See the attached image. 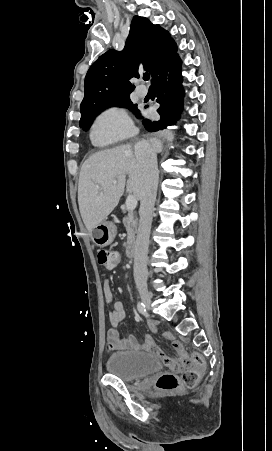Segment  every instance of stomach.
Here are the masks:
<instances>
[{
	"mask_svg": "<svg viewBox=\"0 0 272 451\" xmlns=\"http://www.w3.org/2000/svg\"><path fill=\"white\" fill-rule=\"evenodd\" d=\"M117 233L116 226L112 222H100L97 226H94L90 231L91 239L95 245L99 247H105V245H110L112 243L115 235Z\"/></svg>",
	"mask_w": 272,
	"mask_h": 451,
	"instance_id": "obj_1",
	"label": "stomach"
}]
</instances>
